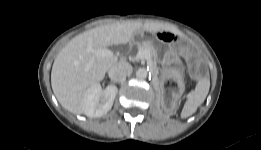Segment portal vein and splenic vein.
I'll return each mask as SVG.
<instances>
[{
  "label": "portal vein and splenic vein",
  "instance_id": "portal-vein-and-splenic-vein-1",
  "mask_svg": "<svg viewBox=\"0 0 261 150\" xmlns=\"http://www.w3.org/2000/svg\"><path fill=\"white\" fill-rule=\"evenodd\" d=\"M89 52L93 54V57L95 56H101V57H109L113 55V52L111 50H108L106 48H94L92 44H90L87 48ZM137 58L140 59H148L149 53L147 50L140 49L137 53ZM93 60V59H92Z\"/></svg>",
  "mask_w": 261,
  "mask_h": 150
}]
</instances>
